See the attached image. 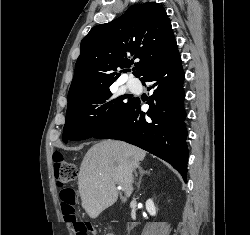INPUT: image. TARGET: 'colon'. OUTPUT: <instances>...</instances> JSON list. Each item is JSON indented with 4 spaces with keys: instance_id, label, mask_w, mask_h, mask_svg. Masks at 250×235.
<instances>
[{
    "instance_id": "obj_1",
    "label": "colon",
    "mask_w": 250,
    "mask_h": 235,
    "mask_svg": "<svg viewBox=\"0 0 250 235\" xmlns=\"http://www.w3.org/2000/svg\"><path fill=\"white\" fill-rule=\"evenodd\" d=\"M55 179L58 185H65L74 181L77 177V167L74 163L66 160L62 155L54 156ZM76 193L72 189H62L60 192L61 209L64 218L71 223L77 235H88V227L76 216Z\"/></svg>"
}]
</instances>
